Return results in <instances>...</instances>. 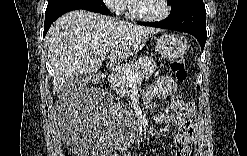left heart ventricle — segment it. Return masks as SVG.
<instances>
[{
  "label": "left heart ventricle",
  "mask_w": 247,
  "mask_h": 156,
  "mask_svg": "<svg viewBox=\"0 0 247 156\" xmlns=\"http://www.w3.org/2000/svg\"><path fill=\"white\" fill-rule=\"evenodd\" d=\"M134 6L137 13L143 16L157 15L162 12V4L158 0L135 1Z\"/></svg>",
  "instance_id": "b2bd125f"
}]
</instances>
